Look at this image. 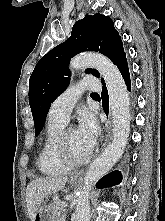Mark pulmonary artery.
Segmentation results:
<instances>
[{"mask_svg":"<svg viewBox=\"0 0 165 221\" xmlns=\"http://www.w3.org/2000/svg\"><path fill=\"white\" fill-rule=\"evenodd\" d=\"M99 88L98 80L93 77H87L72 84L54 100L50 107L48 118L66 123L80 95L86 90L97 91Z\"/></svg>","mask_w":165,"mask_h":221,"instance_id":"obj_1","label":"pulmonary artery"}]
</instances>
